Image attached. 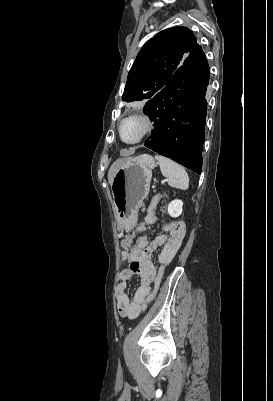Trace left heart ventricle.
Segmentation results:
<instances>
[{
  "label": "left heart ventricle",
  "instance_id": "obj_1",
  "mask_svg": "<svg viewBox=\"0 0 273 401\" xmlns=\"http://www.w3.org/2000/svg\"><path fill=\"white\" fill-rule=\"evenodd\" d=\"M141 132L142 125L135 119H128L121 126V137L126 142L136 140Z\"/></svg>",
  "mask_w": 273,
  "mask_h": 401
}]
</instances>
